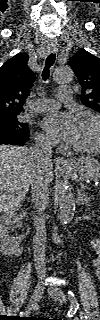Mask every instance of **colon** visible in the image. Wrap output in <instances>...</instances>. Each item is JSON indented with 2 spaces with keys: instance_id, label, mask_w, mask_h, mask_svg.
Masks as SVG:
<instances>
[{
  "instance_id": "1",
  "label": "colon",
  "mask_w": 100,
  "mask_h": 320,
  "mask_svg": "<svg viewBox=\"0 0 100 320\" xmlns=\"http://www.w3.org/2000/svg\"><path fill=\"white\" fill-rule=\"evenodd\" d=\"M94 245L97 246L98 245L97 242H95Z\"/></svg>"
}]
</instances>
